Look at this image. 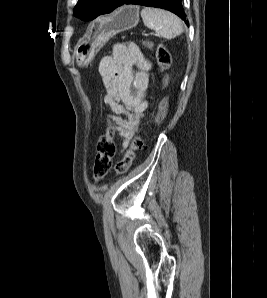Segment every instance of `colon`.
<instances>
[{
    "label": "colon",
    "mask_w": 267,
    "mask_h": 298,
    "mask_svg": "<svg viewBox=\"0 0 267 298\" xmlns=\"http://www.w3.org/2000/svg\"><path fill=\"white\" fill-rule=\"evenodd\" d=\"M157 62L161 71H165L171 64L169 52L164 47L157 49ZM116 131L107 127V131L99 138L94 163V176L97 180L102 179L109 172L115 154ZM143 147L142 135H137L125 151L122 159L116 165V173H126L132 165L136 152Z\"/></svg>",
    "instance_id": "obj_1"
}]
</instances>
